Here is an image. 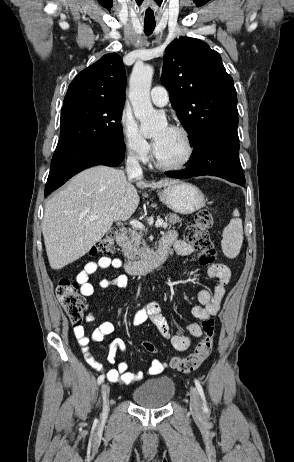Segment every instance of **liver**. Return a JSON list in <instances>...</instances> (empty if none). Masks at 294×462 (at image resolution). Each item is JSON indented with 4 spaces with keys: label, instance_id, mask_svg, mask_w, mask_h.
Listing matches in <instances>:
<instances>
[{
    "label": "liver",
    "instance_id": "obj_1",
    "mask_svg": "<svg viewBox=\"0 0 294 462\" xmlns=\"http://www.w3.org/2000/svg\"><path fill=\"white\" fill-rule=\"evenodd\" d=\"M133 182L139 188L155 189L178 181L127 180L122 170L96 166L74 176L64 190L48 200L42 232L52 269H62L81 258L115 221L132 216L140 202ZM93 216L98 218L91 220Z\"/></svg>",
    "mask_w": 294,
    "mask_h": 462
}]
</instances>
